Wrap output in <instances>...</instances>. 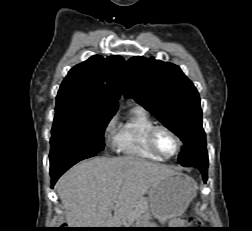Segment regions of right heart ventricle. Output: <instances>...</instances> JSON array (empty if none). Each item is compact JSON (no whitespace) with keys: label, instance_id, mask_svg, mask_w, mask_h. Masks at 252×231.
<instances>
[{"label":"right heart ventricle","instance_id":"1","mask_svg":"<svg viewBox=\"0 0 252 231\" xmlns=\"http://www.w3.org/2000/svg\"><path fill=\"white\" fill-rule=\"evenodd\" d=\"M155 120L143 108H134L114 136V146L123 155L151 161H162L148 145V133Z\"/></svg>","mask_w":252,"mask_h":231}]
</instances>
